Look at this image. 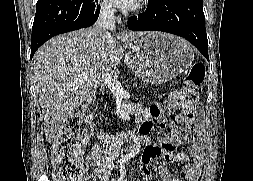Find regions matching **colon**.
Wrapping results in <instances>:
<instances>
[{
    "label": "colon",
    "instance_id": "colon-1",
    "mask_svg": "<svg viewBox=\"0 0 253 181\" xmlns=\"http://www.w3.org/2000/svg\"><path fill=\"white\" fill-rule=\"evenodd\" d=\"M205 78V66L196 62L191 67L180 93V113L194 119L193 103ZM91 127L82 115L69 118L63 125L52 147L53 178L55 181H88L82 148Z\"/></svg>",
    "mask_w": 253,
    "mask_h": 181
}]
</instances>
